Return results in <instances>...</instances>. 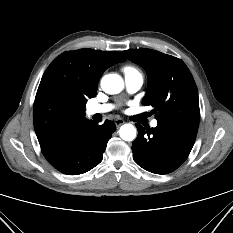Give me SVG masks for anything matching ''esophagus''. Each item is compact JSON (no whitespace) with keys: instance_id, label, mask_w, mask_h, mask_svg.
I'll return each instance as SVG.
<instances>
[{"instance_id":"1","label":"esophagus","mask_w":233,"mask_h":233,"mask_svg":"<svg viewBox=\"0 0 233 233\" xmlns=\"http://www.w3.org/2000/svg\"><path fill=\"white\" fill-rule=\"evenodd\" d=\"M114 122H115V125H116L117 127H119V126H121L122 124H124V120L121 119V118L115 119Z\"/></svg>"}]
</instances>
